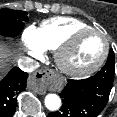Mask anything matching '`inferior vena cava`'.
<instances>
[{"label":"inferior vena cava","instance_id":"1","mask_svg":"<svg viewBox=\"0 0 117 117\" xmlns=\"http://www.w3.org/2000/svg\"><path fill=\"white\" fill-rule=\"evenodd\" d=\"M18 67L24 72L30 73L39 67V63L29 57H21L18 59Z\"/></svg>","mask_w":117,"mask_h":117}]
</instances>
